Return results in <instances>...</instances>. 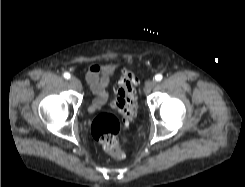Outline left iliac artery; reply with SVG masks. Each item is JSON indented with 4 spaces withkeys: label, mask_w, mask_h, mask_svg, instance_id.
Masks as SVG:
<instances>
[{
    "label": "left iliac artery",
    "mask_w": 245,
    "mask_h": 187,
    "mask_svg": "<svg viewBox=\"0 0 245 187\" xmlns=\"http://www.w3.org/2000/svg\"><path fill=\"white\" fill-rule=\"evenodd\" d=\"M162 78H163L162 74H157V75L154 77L155 81H161Z\"/></svg>",
    "instance_id": "obj_1"
}]
</instances>
